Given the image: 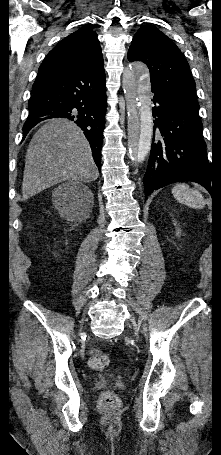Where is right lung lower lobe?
I'll return each instance as SVG.
<instances>
[{"label":"right lung lower lobe","instance_id":"1","mask_svg":"<svg viewBox=\"0 0 221 455\" xmlns=\"http://www.w3.org/2000/svg\"><path fill=\"white\" fill-rule=\"evenodd\" d=\"M106 107L102 60L72 70L34 91L29 99V116L23 127V139L43 120L68 118L83 130L100 170Z\"/></svg>","mask_w":221,"mask_h":455}]
</instances>
